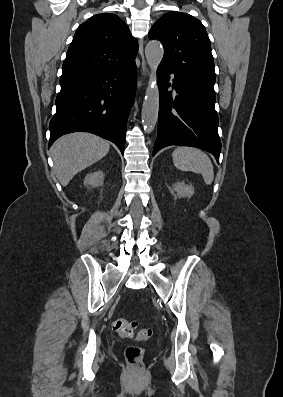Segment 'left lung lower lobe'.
Masks as SVG:
<instances>
[{
    "label": "left lung lower lobe",
    "instance_id": "obj_1",
    "mask_svg": "<svg viewBox=\"0 0 283 397\" xmlns=\"http://www.w3.org/2000/svg\"><path fill=\"white\" fill-rule=\"evenodd\" d=\"M171 73L174 74L172 84L169 83ZM157 75L160 106L153 156L166 146L181 145L206 150L219 162L221 141L217 131L215 92L178 76L162 64ZM170 86L175 92L167 90Z\"/></svg>",
    "mask_w": 283,
    "mask_h": 397
}]
</instances>
